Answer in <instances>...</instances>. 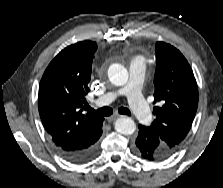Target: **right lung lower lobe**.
Segmentation results:
<instances>
[{
    "label": "right lung lower lobe",
    "instance_id": "right-lung-lower-lobe-1",
    "mask_svg": "<svg viewBox=\"0 0 223 188\" xmlns=\"http://www.w3.org/2000/svg\"><path fill=\"white\" fill-rule=\"evenodd\" d=\"M102 134V129L97 133L93 138L88 140L85 144L77 148H69L64 146H55L56 151L66 160L83 164L91 161L96 157L99 151V142L98 139Z\"/></svg>",
    "mask_w": 223,
    "mask_h": 188
}]
</instances>
